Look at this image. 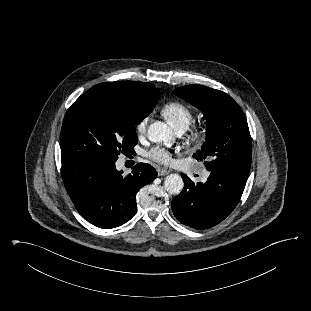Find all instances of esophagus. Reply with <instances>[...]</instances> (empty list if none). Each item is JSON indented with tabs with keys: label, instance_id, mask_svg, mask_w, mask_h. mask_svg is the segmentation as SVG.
<instances>
[{
	"label": "esophagus",
	"instance_id": "1",
	"mask_svg": "<svg viewBox=\"0 0 311 311\" xmlns=\"http://www.w3.org/2000/svg\"><path fill=\"white\" fill-rule=\"evenodd\" d=\"M159 176L167 175L170 171L166 168H158L157 170Z\"/></svg>",
	"mask_w": 311,
	"mask_h": 311
}]
</instances>
